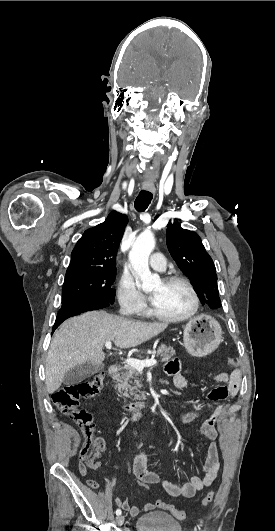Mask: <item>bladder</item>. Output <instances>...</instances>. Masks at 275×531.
I'll use <instances>...</instances> for the list:
<instances>
[{"label": "bladder", "mask_w": 275, "mask_h": 531, "mask_svg": "<svg viewBox=\"0 0 275 531\" xmlns=\"http://www.w3.org/2000/svg\"><path fill=\"white\" fill-rule=\"evenodd\" d=\"M134 531H181V522L166 511H152L137 518Z\"/></svg>", "instance_id": "1"}]
</instances>
